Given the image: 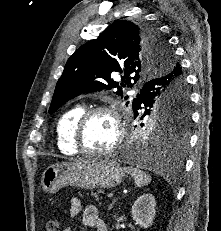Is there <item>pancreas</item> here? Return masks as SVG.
Segmentation results:
<instances>
[{"label": "pancreas", "instance_id": "obj_1", "mask_svg": "<svg viewBox=\"0 0 221 231\" xmlns=\"http://www.w3.org/2000/svg\"><path fill=\"white\" fill-rule=\"evenodd\" d=\"M91 196H94L95 197V200L96 201H99L100 200V197H99V195L97 194V193H91Z\"/></svg>", "mask_w": 221, "mask_h": 231}]
</instances>
